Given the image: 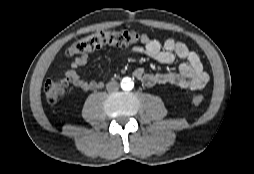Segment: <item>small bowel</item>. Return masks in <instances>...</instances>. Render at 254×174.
<instances>
[{
  "label": "small bowel",
  "mask_w": 254,
  "mask_h": 174,
  "mask_svg": "<svg viewBox=\"0 0 254 174\" xmlns=\"http://www.w3.org/2000/svg\"><path fill=\"white\" fill-rule=\"evenodd\" d=\"M132 52L143 54L162 64H172L177 59L181 60L178 69L174 72L151 73L143 68H136L133 72L134 76L146 87L171 84L184 89L200 90L208 83L209 77L199 56L183 42L170 38L162 43L143 33L140 36V45L134 46ZM87 62V54L75 57L65 74L72 84L81 90L99 89L103 86L101 81L85 80L78 72L79 68Z\"/></svg>",
  "instance_id": "small-bowel-1"
}]
</instances>
